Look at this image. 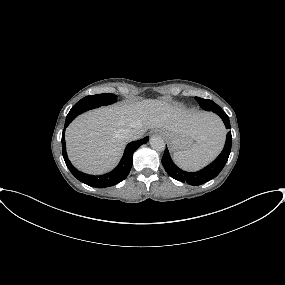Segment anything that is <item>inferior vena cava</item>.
Wrapping results in <instances>:
<instances>
[{
    "label": "inferior vena cava",
    "instance_id": "obj_1",
    "mask_svg": "<svg viewBox=\"0 0 285 285\" xmlns=\"http://www.w3.org/2000/svg\"><path fill=\"white\" fill-rule=\"evenodd\" d=\"M143 133L134 129H129L124 132V138L127 141L138 140L142 138Z\"/></svg>",
    "mask_w": 285,
    "mask_h": 285
}]
</instances>
